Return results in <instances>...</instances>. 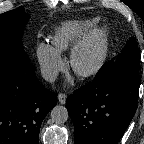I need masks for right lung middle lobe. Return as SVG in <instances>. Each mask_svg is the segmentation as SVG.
Here are the masks:
<instances>
[{
    "label": "right lung middle lobe",
    "mask_w": 144,
    "mask_h": 144,
    "mask_svg": "<svg viewBox=\"0 0 144 144\" xmlns=\"http://www.w3.org/2000/svg\"><path fill=\"white\" fill-rule=\"evenodd\" d=\"M29 15L23 7L0 14V62H12L33 74L21 36Z\"/></svg>",
    "instance_id": "1"
}]
</instances>
